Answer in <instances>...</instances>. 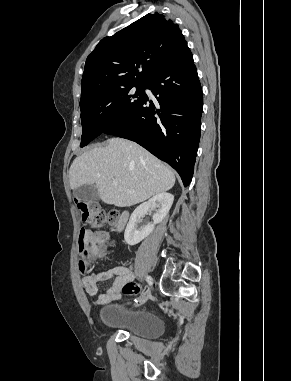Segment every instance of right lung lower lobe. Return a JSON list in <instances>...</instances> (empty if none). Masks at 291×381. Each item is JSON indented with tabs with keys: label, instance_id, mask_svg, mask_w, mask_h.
I'll return each instance as SVG.
<instances>
[{
	"label": "right lung lower lobe",
	"instance_id": "1",
	"mask_svg": "<svg viewBox=\"0 0 291 381\" xmlns=\"http://www.w3.org/2000/svg\"><path fill=\"white\" fill-rule=\"evenodd\" d=\"M157 101L145 98L129 117L106 134L140 144L172 166L184 186L191 182L198 150L203 94L193 56L185 48L147 83Z\"/></svg>",
	"mask_w": 291,
	"mask_h": 381
}]
</instances>
